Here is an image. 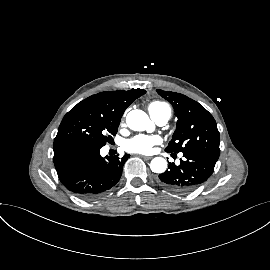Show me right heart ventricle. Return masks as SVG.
Masks as SVG:
<instances>
[{
    "mask_svg": "<svg viewBox=\"0 0 270 270\" xmlns=\"http://www.w3.org/2000/svg\"><path fill=\"white\" fill-rule=\"evenodd\" d=\"M148 110L152 116L165 114V113L171 115V109L169 105L162 101L151 102L148 106Z\"/></svg>",
    "mask_w": 270,
    "mask_h": 270,
    "instance_id": "1",
    "label": "right heart ventricle"
}]
</instances>
